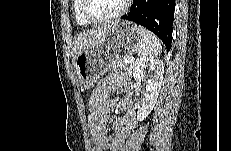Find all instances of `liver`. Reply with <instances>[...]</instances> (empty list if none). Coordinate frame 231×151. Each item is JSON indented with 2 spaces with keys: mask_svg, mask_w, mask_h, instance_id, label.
I'll use <instances>...</instances> for the list:
<instances>
[{
  "mask_svg": "<svg viewBox=\"0 0 231 151\" xmlns=\"http://www.w3.org/2000/svg\"><path fill=\"white\" fill-rule=\"evenodd\" d=\"M113 24L114 22L103 24L91 30L80 32L76 35L74 48L72 51V62L74 65L77 57L81 53L96 46L103 40V38L108 34Z\"/></svg>",
  "mask_w": 231,
  "mask_h": 151,
  "instance_id": "liver-1",
  "label": "liver"
}]
</instances>
